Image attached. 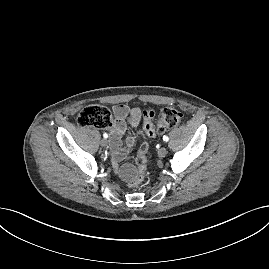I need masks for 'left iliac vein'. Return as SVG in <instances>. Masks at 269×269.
I'll return each mask as SVG.
<instances>
[{
  "label": "left iliac vein",
  "instance_id": "obj_1",
  "mask_svg": "<svg viewBox=\"0 0 269 269\" xmlns=\"http://www.w3.org/2000/svg\"><path fill=\"white\" fill-rule=\"evenodd\" d=\"M167 154V149L165 147H161L158 151V156L160 158L165 157Z\"/></svg>",
  "mask_w": 269,
  "mask_h": 269
}]
</instances>
